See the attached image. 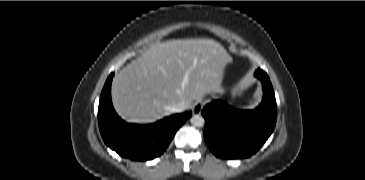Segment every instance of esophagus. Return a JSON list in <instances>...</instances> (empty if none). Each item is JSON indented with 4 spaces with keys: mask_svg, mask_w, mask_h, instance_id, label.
<instances>
[{
    "mask_svg": "<svg viewBox=\"0 0 365 180\" xmlns=\"http://www.w3.org/2000/svg\"><path fill=\"white\" fill-rule=\"evenodd\" d=\"M204 103L202 101L196 102L192 107V112L194 115H199L203 109Z\"/></svg>",
    "mask_w": 365,
    "mask_h": 180,
    "instance_id": "34e87169",
    "label": "esophagus"
}]
</instances>
